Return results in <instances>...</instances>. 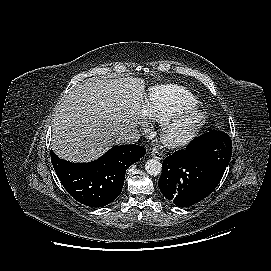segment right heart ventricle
<instances>
[{"mask_svg":"<svg viewBox=\"0 0 271 271\" xmlns=\"http://www.w3.org/2000/svg\"><path fill=\"white\" fill-rule=\"evenodd\" d=\"M199 105V99L185 87L163 84L151 87L144 105V116L150 122H162L178 111Z\"/></svg>","mask_w":271,"mask_h":271,"instance_id":"right-heart-ventricle-1","label":"right heart ventricle"}]
</instances>
